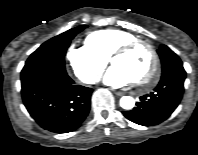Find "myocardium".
Instances as JSON below:
<instances>
[{"label":"myocardium","instance_id":"f54148a6","mask_svg":"<svg viewBox=\"0 0 198 155\" xmlns=\"http://www.w3.org/2000/svg\"><path fill=\"white\" fill-rule=\"evenodd\" d=\"M138 45H145L149 49L151 56H152V67L149 73L145 76V78L142 80L135 81V84L144 90H148L155 85L158 75H159V69H160L159 54L155 46L151 42L147 40H143V39H138V38L127 41L114 50V52L110 56V61L112 62V60L116 56L124 55L130 52Z\"/></svg>","mask_w":198,"mask_h":155}]
</instances>
